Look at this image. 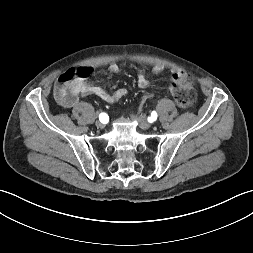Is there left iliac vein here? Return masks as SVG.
I'll list each match as a JSON object with an SVG mask.
<instances>
[{"mask_svg": "<svg viewBox=\"0 0 253 253\" xmlns=\"http://www.w3.org/2000/svg\"><path fill=\"white\" fill-rule=\"evenodd\" d=\"M136 119L138 120L140 127L143 129H148L152 126V124L149 123L144 116H136Z\"/></svg>", "mask_w": 253, "mask_h": 253, "instance_id": "1", "label": "left iliac vein"}]
</instances>
